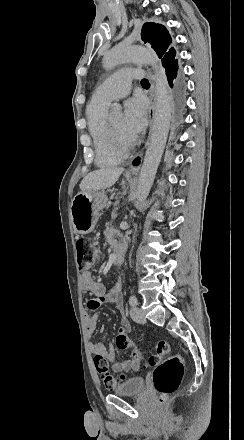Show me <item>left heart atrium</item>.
Segmentation results:
<instances>
[{"instance_id": "39dd6f15", "label": "left heart atrium", "mask_w": 244, "mask_h": 440, "mask_svg": "<svg viewBox=\"0 0 244 440\" xmlns=\"http://www.w3.org/2000/svg\"><path fill=\"white\" fill-rule=\"evenodd\" d=\"M147 124L146 103L141 97L126 101L124 110V128L130 133L142 131Z\"/></svg>"}]
</instances>
